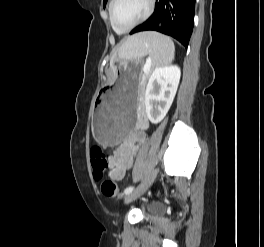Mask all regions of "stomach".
<instances>
[{"label": "stomach", "instance_id": "0dacf381", "mask_svg": "<svg viewBox=\"0 0 264 247\" xmlns=\"http://www.w3.org/2000/svg\"><path fill=\"white\" fill-rule=\"evenodd\" d=\"M127 62H135V57H127ZM139 68L141 63H134V66L132 63H125V66L116 63L117 82L113 86H100L98 90L92 125L95 139L103 147H116L120 141H127L130 131L135 129L137 108H134L133 103L140 82L136 76L141 74Z\"/></svg>", "mask_w": 264, "mask_h": 247}]
</instances>
